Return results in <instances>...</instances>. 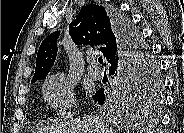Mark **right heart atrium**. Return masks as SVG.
Masks as SVG:
<instances>
[{
    "label": "right heart atrium",
    "instance_id": "d8ad5b80",
    "mask_svg": "<svg viewBox=\"0 0 184 133\" xmlns=\"http://www.w3.org/2000/svg\"><path fill=\"white\" fill-rule=\"evenodd\" d=\"M43 95L52 108L66 110L74 103L73 83L63 73H56L46 79Z\"/></svg>",
    "mask_w": 184,
    "mask_h": 133
}]
</instances>
